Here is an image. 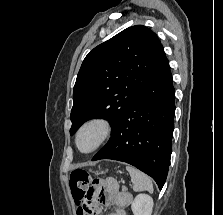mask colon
I'll return each mask as SVG.
<instances>
[{
    "label": "colon",
    "instance_id": "obj_1",
    "mask_svg": "<svg viewBox=\"0 0 223 215\" xmlns=\"http://www.w3.org/2000/svg\"><path fill=\"white\" fill-rule=\"evenodd\" d=\"M90 181L89 174L84 170H74L70 175V188L72 196L78 207V212L83 215H92V207L84 203L86 188Z\"/></svg>",
    "mask_w": 223,
    "mask_h": 215
}]
</instances>
